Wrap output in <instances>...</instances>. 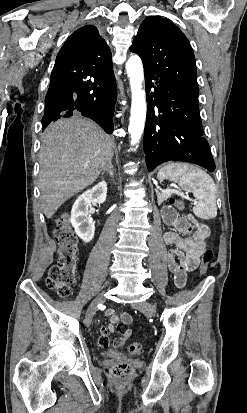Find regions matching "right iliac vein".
<instances>
[{"instance_id": "1", "label": "right iliac vein", "mask_w": 247, "mask_h": 413, "mask_svg": "<svg viewBox=\"0 0 247 413\" xmlns=\"http://www.w3.org/2000/svg\"><path fill=\"white\" fill-rule=\"evenodd\" d=\"M106 301L104 294H99L90 304V307L87 311V314L84 319V324L89 327L92 323V318L94 316V310L96 306L100 303H104Z\"/></svg>"}]
</instances>
